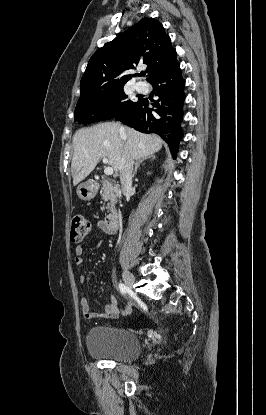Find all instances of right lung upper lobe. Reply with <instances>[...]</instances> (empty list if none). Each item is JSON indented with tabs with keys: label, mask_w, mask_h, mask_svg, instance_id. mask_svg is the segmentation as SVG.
Masks as SVG:
<instances>
[{
	"label": "right lung upper lobe",
	"mask_w": 266,
	"mask_h": 415,
	"mask_svg": "<svg viewBox=\"0 0 266 415\" xmlns=\"http://www.w3.org/2000/svg\"><path fill=\"white\" fill-rule=\"evenodd\" d=\"M142 63L148 65L149 82L178 65L170 37L153 18H142L93 54L80 82V98L124 86L133 75L122 71Z\"/></svg>",
	"instance_id": "right-lung-upper-lobe-1"
}]
</instances>
